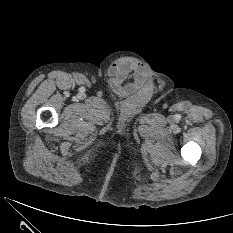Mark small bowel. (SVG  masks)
Returning <instances> with one entry per match:
<instances>
[{"mask_svg": "<svg viewBox=\"0 0 233 233\" xmlns=\"http://www.w3.org/2000/svg\"><path fill=\"white\" fill-rule=\"evenodd\" d=\"M108 76L113 92L128 96L143 88L147 81V69L136 59L120 58L110 65Z\"/></svg>", "mask_w": 233, "mask_h": 233, "instance_id": "small-bowel-1", "label": "small bowel"}]
</instances>
